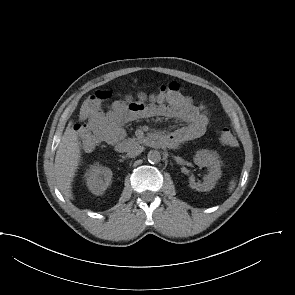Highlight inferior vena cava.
<instances>
[{"label":"inferior vena cava","mask_w":295,"mask_h":295,"mask_svg":"<svg viewBox=\"0 0 295 295\" xmlns=\"http://www.w3.org/2000/svg\"><path fill=\"white\" fill-rule=\"evenodd\" d=\"M143 150H144L143 146L136 145L128 150L127 155L129 157L133 158V157L140 155L143 152Z\"/></svg>","instance_id":"obj_1"}]
</instances>
